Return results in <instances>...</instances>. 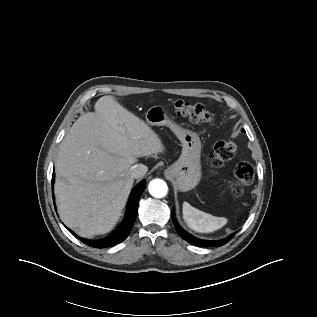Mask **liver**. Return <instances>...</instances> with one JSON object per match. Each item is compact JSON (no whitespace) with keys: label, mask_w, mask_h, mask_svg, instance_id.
<instances>
[{"label":"liver","mask_w":317,"mask_h":317,"mask_svg":"<svg viewBox=\"0 0 317 317\" xmlns=\"http://www.w3.org/2000/svg\"><path fill=\"white\" fill-rule=\"evenodd\" d=\"M77 119L64 137L54 186L62 221L82 237L109 232L126 205L138 157L163 153L164 144L114 96Z\"/></svg>","instance_id":"liver-1"}]
</instances>
